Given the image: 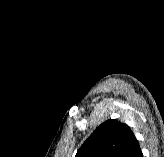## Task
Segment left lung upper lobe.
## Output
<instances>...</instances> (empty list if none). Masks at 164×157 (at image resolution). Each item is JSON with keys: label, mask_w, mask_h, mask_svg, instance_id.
Returning a JSON list of instances; mask_svg holds the SVG:
<instances>
[{"label": "left lung upper lobe", "mask_w": 164, "mask_h": 157, "mask_svg": "<svg viewBox=\"0 0 164 157\" xmlns=\"http://www.w3.org/2000/svg\"><path fill=\"white\" fill-rule=\"evenodd\" d=\"M135 140L128 125L109 119L95 129L75 157H126Z\"/></svg>", "instance_id": "left-lung-upper-lobe-1"}]
</instances>
